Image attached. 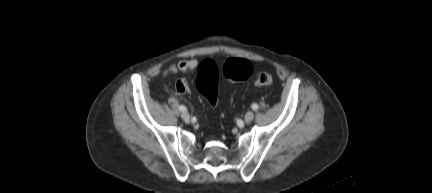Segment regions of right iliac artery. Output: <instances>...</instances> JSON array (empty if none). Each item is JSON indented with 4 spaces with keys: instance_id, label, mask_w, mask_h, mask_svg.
<instances>
[{
    "instance_id": "obj_1",
    "label": "right iliac artery",
    "mask_w": 432,
    "mask_h": 193,
    "mask_svg": "<svg viewBox=\"0 0 432 193\" xmlns=\"http://www.w3.org/2000/svg\"><path fill=\"white\" fill-rule=\"evenodd\" d=\"M179 110L182 111V112H184V111L187 110V108L185 106H183V105H180L179 106Z\"/></svg>"
}]
</instances>
